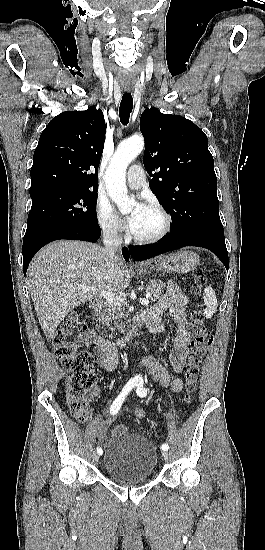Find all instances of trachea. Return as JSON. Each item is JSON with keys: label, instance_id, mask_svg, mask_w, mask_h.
Segmentation results:
<instances>
[{"label": "trachea", "instance_id": "trachea-1", "mask_svg": "<svg viewBox=\"0 0 265 550\" xmlns=\"http://www.w3.org/2000/svg\"><path fill=\"white\" fill-rule=\"evenodd\" d=\"M132 108L133 98L131 93H124L119 108L120 121L123 125L128 124Z\"/></svg>", "mask_w": 265, "mask_h": 550}]
</instances>
